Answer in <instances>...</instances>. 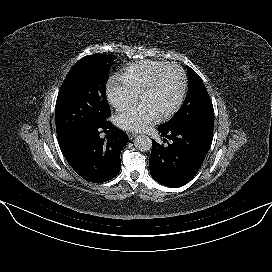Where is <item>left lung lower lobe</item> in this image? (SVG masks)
<instances>
[{"mask_svg":"<svg viewBox=\"0 0 272 272\" xmlns=\"http://www.w3.org/2000/svg\"><path fill=\"white\" fill-rule=\"evenodd\" d=\"M159 132L163 142L160 145L152 140L149 158L151 176L167 187H181L187 184L199 171L213 139V129L205 127H186L166 129L160 125Z\"/></svg>","mask_w":272,"mask_h":272,"instance_id":"left-lung-lower-lobe-1","label":"left lung lower lobe"}]
</instances>
